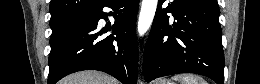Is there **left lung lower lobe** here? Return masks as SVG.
Listing matches in <instances>:
<instances>
[{
	"label": "left lung lower lobe",
	"mask_w": 260,
	"mask_h": 84,
	"mask_svg": "<svg viewBox=\"0 0 260 84\" xmlns=\"http://www.w3.org/2000/svg\"><path fill=\"white\" fill-rule=\"evenodd\" d=\"M159 0L143 58L147 82L178 73L224 84V53L217 0ZM172 13L174 21H169Z\"/></svg>",
	"instance_id": "left-lung-lower-lobe-1"
}]
</instances>
